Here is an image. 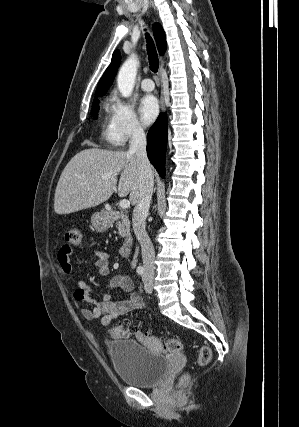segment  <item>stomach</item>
I'll list each match as a JSON object with an SVG mask.
<instances>
[{"label": "stomach", "instance_id": "1", "mask_svg": "<svg viewBox=\"0 0 299 427\" xmlns=\"http://www.w3.org/2000/svg\"><path fill=\"white\" fill-rule=\"evenodd\" d=\"M91 221L93 226L100 231L106 230L110 226V219L105 213H94Z\"/></svg>", "mask_w": 299, "mask_h": 427}]
</instances>
